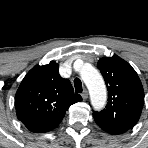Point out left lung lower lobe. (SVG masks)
<instances>
[{"label":"left lung lower lobe","instance_id":"1","mask_svg":"<svg viewBox=\"0 0 148 148\" xmlns=\"http://www.w3.org/2000/svg\"><path fill=\"white\" fill-rule=\"evenodd\" d=\"M103 130L110 133V134H113V135L122 134V133H119L118 131L112 130L110 128H104Z\"/></svg>","mask_w":148,"mask_h":148}]
</instances>
